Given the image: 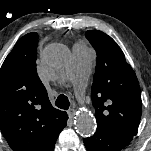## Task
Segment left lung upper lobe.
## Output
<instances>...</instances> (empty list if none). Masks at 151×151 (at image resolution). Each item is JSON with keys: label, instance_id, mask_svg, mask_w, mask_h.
<instances>
[{"label": "left lung upper lobe", "instance_id": "5c2ea615", "mask_svg": "<svg viewBox=\"0 0 151 151\" xmlns=\"http://www.w3.org/2000/svg\"><path fill=\"white\" fill-rule=\"evenodd\" d=\"M86 37L97 52L91 89L97 126L133 137L142 113L137 77L111 37L97 30L87 31Z\"/></svg>", "mask_w": 151, "mask_h": 151}]
</instances>
